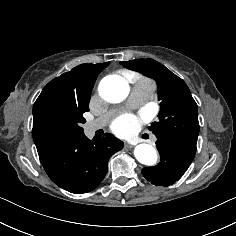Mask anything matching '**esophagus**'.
Returning a JSON list of instances; mask_svg holds the SVG:
<instances>
[{"mask_svg": "<svg viewBox=\"0 0 236 236\" xmlns=\"http://www.w3.org/2000/svg\"><path fill=\"white\" fill-rule=\"evenodd\" d=\"M127 147L131 148V147H132V145H127Z\"/></svg>", "mask_w": 236, "mask_h": 236, "instance_id": "obj_1", "label": "esophagus"}]
</instances>
